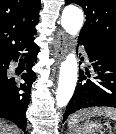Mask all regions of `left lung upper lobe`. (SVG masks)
Listing matches in <instances>:
<instances>
[{
  "mask_svg": "<svg viewBox=\"0 0 116 134\" xmlns=\"http://www.w3.org/2000/svg\"><path fill=\"white\" fill-rule=\"evenodd\" d=\"M76 3L86 15L79 41L94 40L116 47V0H65Z\"/></svg>",
  "mask_w": 116,
  "mask_h": 134,
  "instance_id": "left-lung-upper-lobe-1",
  "label": "left lung upper lobe"
}]
</instances>
